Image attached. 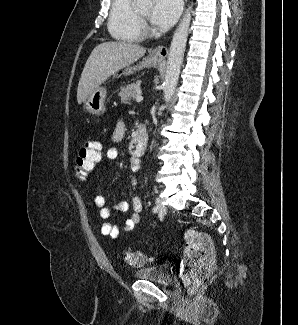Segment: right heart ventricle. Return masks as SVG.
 <instances>
[{
	"instance_id": "1",
	"label": "right heart ventricle",
	"mask_w": 298,
	"mask_h": 325,
	"mask_svg": "<svg viewBox=\"0 0 298 325\" xmlns=\"http://www.w3.org/2000/svg\"><path fill=\"white\" fill-rule=\"evenodd\" d=\"M132 3L133 0H116L111 5L107 28L116 41H141L132 26Z\"/></svg>"
}]
</instances>
